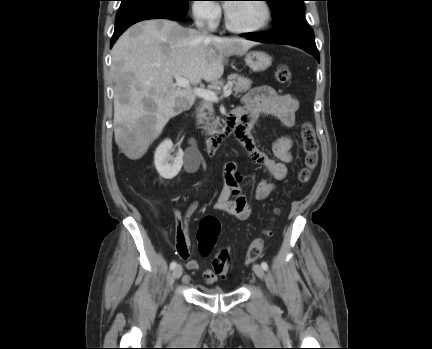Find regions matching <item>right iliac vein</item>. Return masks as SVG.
I'll return each mask as SVG.
<instances>
[{
    "instance_id": "right-iliac-vein-1",
    "label": "right iliac vein",
    "mask_w": 432,
    "mask_h": 349,
    "mask_svg": "<svg viewBox=\"0 0 432 349\" xmlns=\"http://www.w3.org/2000/svg\"><path fill=\"white\" fill-rule=\"evenodd\" d=\"M182 273H183L182 267L180 265L176 266L173 270V273H172L173 278L179 279L182 276Z\"/></svg>"
}]
</instances>
